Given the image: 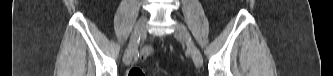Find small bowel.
<instances>
[{
  "label": "small bowel",
  "instance_id": "1",
  "mask_svg": "<svg viewBox=\"0 0 333 76\" xmlns=\"http://www.w3.org/2000/svg\"><path fill=\"white\" fill-rule=\"evenodd\" d=\"M152 51V49L150 47H146L145 49V54H148ZM138 69V68H137Z\"/></svg>",
  "mask_w": 333,
  "mask_h": 76
}]
</instances>
